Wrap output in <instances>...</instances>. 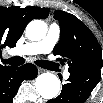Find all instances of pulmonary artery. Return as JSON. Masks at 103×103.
<instances>
[{"label":"pulmonary artery","instance_id":"pulmonary-artery-1","mask_svg":"<svg viewBox=\"0 0 103 103\" xmlns=\"http://www.w3.org/2000/svg\"><path fill=\"white\" fill-rule=\"evenodd\" d=\"M59 36H60V28L56 23H53L50 25L47 35L41 41L32 42L17 47L14 50V54L16 55H36L41 53L48 54L53 50L54 46L58 42ZM69 76L70 73L68 71H65L63 73V77L65 79H67Z\"/></svg>","mask_w":103,"mask_h":103}]
</instances>
